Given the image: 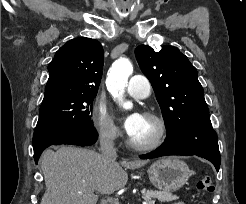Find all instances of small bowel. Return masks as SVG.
Wrapping results in <instances>:
<instances>
[{
    "instance_id": "small-bowel-1",
    "label": "small bowel",
    "mask_w": 246,
    "mask_h": 204,
    "mask_svg": "<svg viewBox=\"0 0 246 204\" xmlns=\"http://www.w3.org/2000/svg\"><path fill=\"white\" fill-rule=\"evenodd\" d=\"M173 204H185V203H183V202H178V203H173Z\"/></svg>"
}]
</instances>
